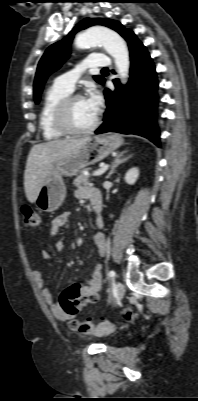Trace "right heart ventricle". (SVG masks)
<instances>
[{
    "label": "right heart ventricle",
    "instance_id": "e07e8e85",
    "mask_svg": "<svg viewBox=\"0 0 198 401\" xmlns=\"http://www.w3.org/2000/svg\"><path fill=\"white\" fill-rule=\"evenodd\" d=\"M70 93L55 84L46 91L39 115V126L44 139L57 140L65 136L56 127L54 114L59 102Z\"/></svg>",
    "mask_w": 198,
    "mask_h": 401
}]
</instances>
